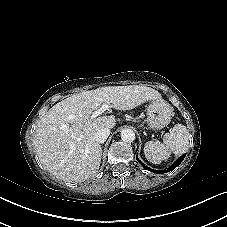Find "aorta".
Here are the masks:
<instances>
[{
	"label": "aorta",
	"instance_id": "obj_1",
	"mask_svg": "<svg viewBox=\"0 0 227 227\" xmlns=\"http://www.w3.org/2000/svg\"><path fill=\"white\" fill-rule=\"evenodd\" d=\"M121 139L124 142L131 143L135 140V133L131 129H124L121 131Z\"/></svg>",
	"mask_w": 227,
	"mask_h": 227
}]
</instances>
